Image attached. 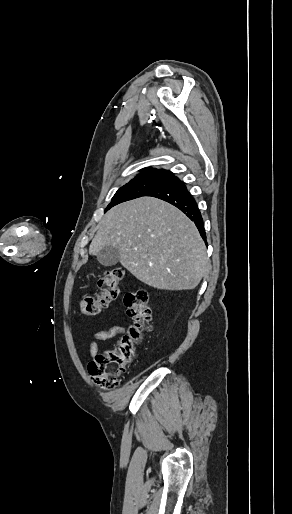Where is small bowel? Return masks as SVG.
<instances>
[{
  "label": "small bowel",
  "mask_w": 292,
  "mask_h": 514,
  "mask_svg": "<svg viewBox=\"0 0 292 514\" xmlns=\"http://www.w3.org/2000/svg\"><path fill=\"white\" fill-rule=\"evenodd\" d=\"M126 330L118 323H110L104 329L94 332L89 341V354L91 358L96 357L98 353V342L107 341L118 336H123Z\"/></svg>",
  "instance_id": "small-bowel-1"
}]
</instances>
